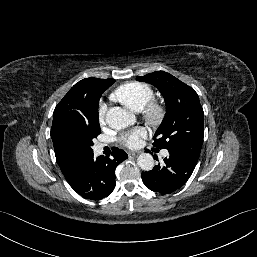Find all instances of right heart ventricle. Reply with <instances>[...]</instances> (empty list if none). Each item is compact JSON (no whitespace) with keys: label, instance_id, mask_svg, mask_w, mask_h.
Here are the masks:
<instances>
[{"label":"right heart ventricle","instance_id":"right-heart-ventricle-1","mask_svg":"<svg viewBox=\"0 0 257 257\" xmlns=\"http://www.w3.org/2000/svg\"><path fill=\"white\" fill-rule=\"evenodd\" d=\"M154 92L150 85L144 82H128L116 88L111 98L132 111H141L153 98Z\"/></svg>","mask_w":257,"mask_h":257}]
</instances>
